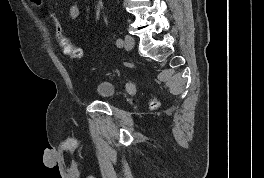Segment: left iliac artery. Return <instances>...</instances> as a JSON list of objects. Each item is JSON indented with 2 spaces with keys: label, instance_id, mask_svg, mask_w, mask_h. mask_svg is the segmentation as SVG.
Returning a JSON list of instances; mask_svg holds the SVG:
<instances>
[{
  "label": "left iliac artery",
  "instance_id": "left-iliac-artery-1",
  "mask_svg": "<svg viewBox=\"0 0 264 178\" xmlns=\"http://www.w3.org/2000/svg\"><path fill=\"white\" fill-rule=\"evenodd\" d=\"M116 45H117V47H122L123 46V40L121 38H118L116 40Z\"/></svg>",
  "mask_w": 264,
  "mask_h": 178
}]
</instances>
